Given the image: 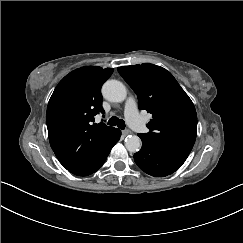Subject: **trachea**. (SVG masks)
Returning <instances> with one entry per match:
<instances>
[{"instance_id": "trachea-1", "label": "trachea", "mask_w": 243, "mask_h": 243, "mask_svg": "<svg viewBox=\"0 0 243 243\" xmlns=\"http://www.w3.org/2000/svg\"><path fill=\"white\" fill-rule=\"evenodd\" d=\"M107 124L110 125V126H116L117 125V127H119L122 130L125 129V121L123 119H118L115 116L111 117L108 120Z\"/></svg>"}]
</instances>
